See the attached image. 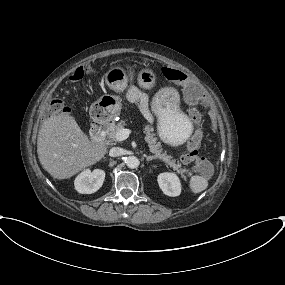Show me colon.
Wrapping results in <instances>:
<instances>
[{
  "instance_id": "5ec220e1",
  "label": "colon",
  "mask_w": 285,
  "mask_h": 285,
  "mask_svg": "<svg viewBox=\"0 0 285 285\" xmlns=\"http://www.w3.org/2000/svg\"><path fill=\"white\" fill-rule=\"evenodd\" d=\"M162 73L167 80L181 85L183 87L184 92L191 100L202 101V93L189 76L176 69L169 67H164L162 69ZM89 74L90 69L87 66H80L69 74L68 80H66L64 84L67 81H80ZM63 110V103L58 98H52L46 106L47 114L54 115ZM92 114L95 115V111H92ZM189 116L194 125L196 126V131L188 142L186 152L182 155V161L184 163L194 164V171L196 173L200 175H207V172L211 170L210 164L205 158L199 156V148L202 141V133L200 131V127L203 121V115L199 110L192 109L189 113Z\"/></svg>"
}]
</instances>
